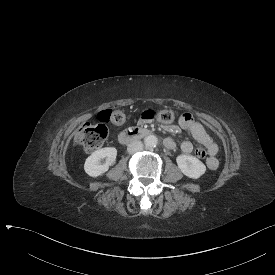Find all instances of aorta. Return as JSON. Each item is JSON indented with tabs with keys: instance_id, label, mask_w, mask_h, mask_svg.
<instances>
[{
	"instance_id": "obj_1",
	"label": "aorta",
	"mask_w": 275,
	"mask_h": 275,
	"mask_svg": "<svg viewBox=\"0 0 275 275\" xmlns=\"http://www.w3.org/2000/svg\"><path fill=\"white\" fill-rule=\"evenodd\" d=\"M144 144L146 147L152 148L157 145V139L154 135H148L144 137Z\"/></svg>"
}]
</instances>
